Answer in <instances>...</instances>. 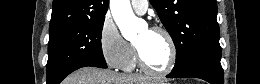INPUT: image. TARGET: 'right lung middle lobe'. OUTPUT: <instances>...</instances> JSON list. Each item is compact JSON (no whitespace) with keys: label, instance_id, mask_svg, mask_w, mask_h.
<instances>
[{"label":"right lung middle lobe","instance_id":"dd1d6c3e","mask_svg":"<svg viewBox=\"0 0 260 84\" xmlns=\"http://www.w3.org/2000/svg\"><path fill=\"white\" fill-rule=\"evenodd\" d=\"M104 20L105 17L86 19L50 31L47 84H59L81 67L107 68L101 46Z\"/></svg>","mask_w":260,"mask_h":84}]
</instances>
